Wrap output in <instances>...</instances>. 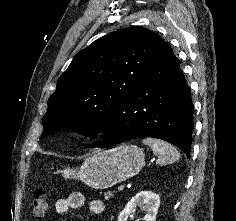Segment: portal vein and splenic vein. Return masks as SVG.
Returning <instances> with one entry per match:
<instances>
[{
	"label": "portal vein and splenic vein",
	"mask_w": 236,
	"mask_h": 221,
	"mask_svg": "<svg viewBox=\"0 0 236 221\" xmlns=\"http://www.w3.org/2000/svg\"><path fill=\"white\" fill-rule=\"evenodd\" d=\"M125 188V185L124 184H121L119 187H118V191H123V189Z\"/></svg>",
	"instance_id": "obj_1"
}]
</instances>
